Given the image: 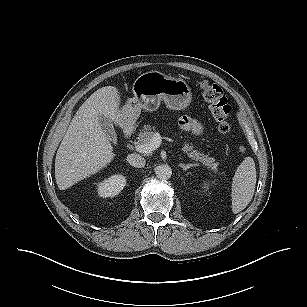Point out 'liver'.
<instances>
[{
	"mask_svg": "<svg viewBox=\"0 0 307 307\" xmlns=\"http://www.w3.org/2000/svg\"><path fill=\"white\" fill-rule=\"evenodd\" d=\"M119 102L118 89L105 86L80 106L55 158V179L60 190L97 173L114 159L113 147L98 116L104 115L120 128L125 127L126 114L119 109Z\"/></svg>",
	"mask_w": 307,
	"mask_h": 307,
	"instance_id": "1",
	"label": "liver"
}]
</instances>
